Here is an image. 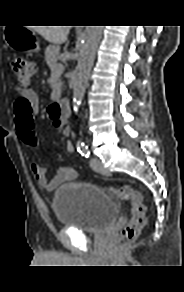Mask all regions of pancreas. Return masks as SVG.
Segmentation results:
<instances>
[{"label":"pancreas","mask_w":184,"mask_h":292,"mask_svg":"<svg viewBox=\"0 0 184 292\" xmlns=\"http://www.w3.org/2000/svg\"><path fill=\"white\" fill-rule=\"evenodd\" d=\"M59 55H60V47L59 46H49L47 47L46 51H45V59H46V63L49 66L50 70L52 73H54L56 70L55 68L59 65L57 63L58 59H59ZM62 74V72H60V75ZM59 83L56 84V86H58Z\"/></svg>","instance_id":"pancreas-1"}]
</instances>
